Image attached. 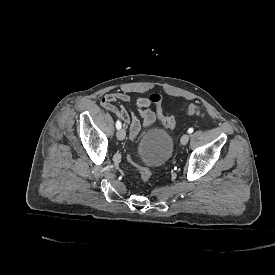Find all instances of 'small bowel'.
I'll use <instances>...</instances> for the list:
<instances>
[{"label":"small bowel","mask_w":275,"mask_h":275,"mask_svg":"<svg viewBox=\"0 0 275 275\" xmlns=\"http://www.w3.org/2000/svg\"><path fill=\"white\" fill-rule=\"evenodd\" d=\"M131 97L126 91L109 93L100 99V106L114 114L122 122L129 125V137L138 140L141 136L142 126L145 129L152 128L154 124V113L150 108L151 102L145 96H138L135 100L137 114L128 113L124 104H129Z\"/></svg>","instance_id":"obj_1"}]
</instances>
